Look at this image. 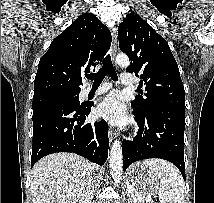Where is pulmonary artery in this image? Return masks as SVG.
Segmentation results:
<instances>
[{
	"instance_id": "e3ab8cb5",
	"label": "pulmonary artery",
	"mask_w": 214,
	"mask_h": 203,
	"mask_svg": "<svg viewBox=\"0 0 214 203\" xmlns=\"http://www.w3.org/2000/svg\"><path fill=\"white\" fill-rule=\"evenodd\" d=\"M121 83L124 86H133L136 84V80L134 78H132V74L130 73H123L121 74ZM111 87V84L109 83H103L97 90H96V94H100L103 93L105 91H107L109 88ZM87 94L89 93V90L86 92Z\"/></svg>"
}]
</instances>
